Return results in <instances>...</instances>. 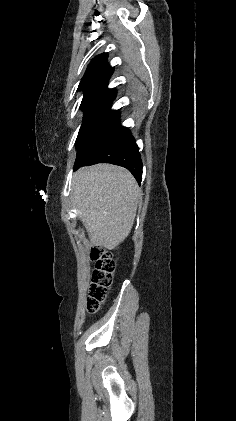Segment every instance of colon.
<instances>
[{"instance_id":"obj_1","label":"colon","mask_w":236,"mask_h":421,"mask_svg":"<svg viewBox=\"0 0 236 421\" xmlns=\"http://www.w3.org/2000/svg\"><path fill=\"white\" fill-rule=\"evenodd\" d=\"M91 258L95 261V269L87 298V311L95 314L101 310L108 297L116 265L113 257L100 247L92 250Z\"/></svg>"}]
</instances>
